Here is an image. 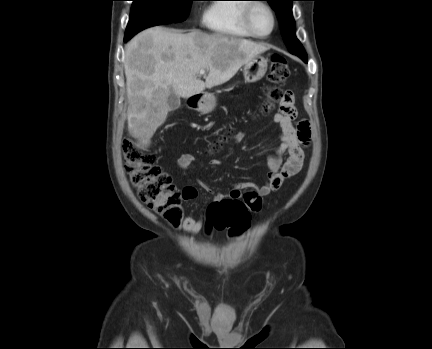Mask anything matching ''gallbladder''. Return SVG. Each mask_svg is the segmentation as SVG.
<instances>
[{"mask_svg":"<svg viewBox=\"0 0 432 349\" xmlns=\"http://www.w3.org/2000/svg\"><path fill=\"white\" fill-rule=\"evenodd\" d=\"M169 111H175L180 107V98L174 94H170L167 98Z\"/></svg>","mask_w":432,"mask_h":349,"instance_id":"obj_1","label":"gallbladder"}]
</instances>
